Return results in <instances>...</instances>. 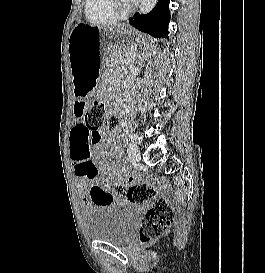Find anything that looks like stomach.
<instances>
[{
  "label": "stomach",
  "mask_w": 265,
  "mask_h": 273,
  "mask_svg": "<svg viewBox=\"0 0 265 273\" xmlns=\"http://www.w3.org/2000/svg\"><path fill=\"white\" fill-rule=\"evenodd\" d=\"M158 40H145L128 28L102 29L78 23L70 33L68 55L75 95H92L98 78H109L116 64H130L136 49H153ZM130 49L133 51H106Z\"/></svg>",
  "instance_id": "0dacf381"
}]
</instances>
